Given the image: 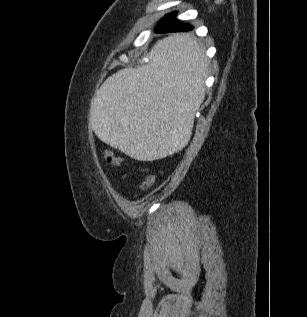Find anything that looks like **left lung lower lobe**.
<instances>
[{"mask_svg":"<svg viewBox=\"0 0 307 317\" xmlns=\"http://www.w3.org/2000/svg\"><path fill=\"white\" fill-rule=\"evenodd\" d=\"M193 30V26L189 24H184L182 26L178 27H172L171 23L166 20H160L158 25L155 28L156 33H170V32H188ZM192 41L191 38L187 34H183L180 37H177L174 39V46H181L182 44H185L187 42Z\"/></svg>","mask_w":307,"mask_h":317,"instance_id":"1","label":"left lung lower lobe"}]
</instances>
